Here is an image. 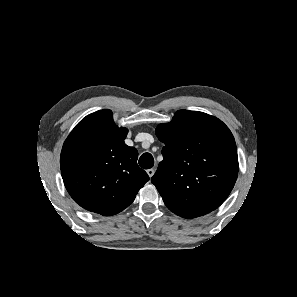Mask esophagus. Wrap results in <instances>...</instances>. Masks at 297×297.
<instances>
[{
	"label": "esophagus",
	"instance_id": "obj_1",
	"mask_svg": "<svg viewBox=\"0 0 297 297\" xmlns=\"http://www.w3.org/2000/svg\"><path fill=\"white\" fill-rule=\"evenodd\" d=\"M154 172H155V171H154V169H152V168L147 170V174H148V176H149L150 178L154 175Z\"/></svg>",
	"mask_w": 297,
	"mask_h": 297
}]
</instances>
